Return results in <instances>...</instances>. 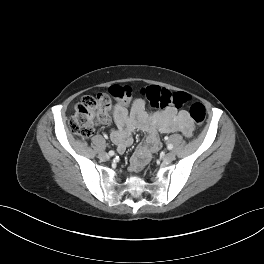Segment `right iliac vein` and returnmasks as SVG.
I'll use <instances>...</instances> for the list:
<instances>
[{"mask_svg":"<svg viewBox=\"0 0 264 264\" xmlns=\"http://www.w3.org/2000/svg\"><path fill=\"white\" fill-rule=\"evenodd\" d=\"M99 157L102 159V160H109L110 159V156L105 153V152H102L99 154Z\"/></svg>","mask_w":264,"mask_h":264,"instance_id":"obj_1","label":"right iliac vein"}]
</instances>
